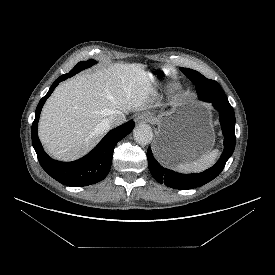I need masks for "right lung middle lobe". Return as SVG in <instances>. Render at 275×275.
<instances>
[{
  "mask_svg": "<svg viewBox=\"0 0 275 275\" xmlns=\"http://www.w3.org/2000/svg\"><path fill=\"white\" fill-rule=\"evenodd\" d=\"M95 63H96V61H94V60L79 62L69 73L64 74V75L73 74V73L76 74L83 69L91 67Z\"/></svg>",
  "mask_w": 275,
  "mask_h": 275,
  "instance_id": "obj_1",
  "label": "right lung middle lobe"
}]
</instances>
